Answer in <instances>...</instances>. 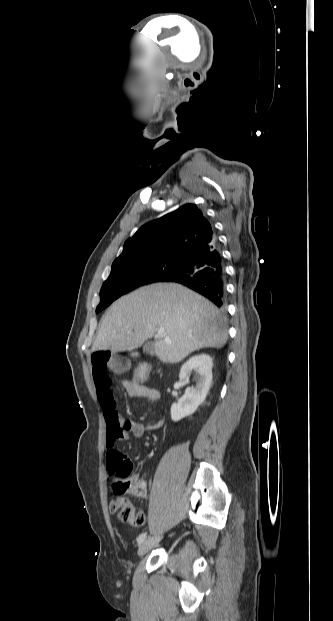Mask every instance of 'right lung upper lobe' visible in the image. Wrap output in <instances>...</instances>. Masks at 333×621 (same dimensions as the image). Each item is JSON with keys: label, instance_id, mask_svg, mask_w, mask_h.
I'll use <instances>...</instances> for the list:
<instances>
[{"label": "right lung upper lobe", "instance_id": "right-lung-upper-lobe-1", "mask_svg": "<svg viewBox=\"0 0 333 621\" xmlns=\"http://www.w3.org/2000/svg\"><path fill=\"white\" fill-rule=\"evenodd\" d=\"M216 238L202 211L187 203L142 226L123 247L113 264L159 257L185 258Z\"/></svg>", "mask_w": 333, "mask_h": 621}]
</instances>
